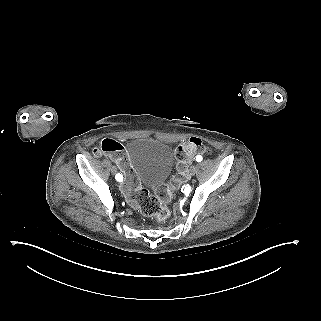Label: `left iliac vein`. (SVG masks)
<instances>
[{"label":"left iliac vein","mask_w":321,"mask_h":321,"mask_svg":"<svg viewBox=\"0 0 321 321\" xmlns=\"http://www.w3.org/2000/svg\"><path fill=\"white\" fill-rule=\"evenodd\" d=\"M197 172V167L196 166H191L189 169L190 175H195Z\"/></svg>","instance_id":"1"}]
</instances>
